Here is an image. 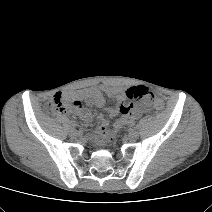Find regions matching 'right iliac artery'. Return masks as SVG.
Listing matches in <instances>:
<instances>
[{
    "mask_svg": "<svg viewBox=\"0 0 212 212\" xmlns=\"http://www.w3.org/2000/svg\"><path fill=\"white\" fill-rule=\"evenodd\" d=\"M70 126H71L72 128H75V127L77 126V123H76L75 121H71V122H70Z\"/></svg>",
    "mask_w": 212,
    "mask_h": 212,
    "instance_id": "right-iliac-artery-1",
    "label": "right iliac artery"
}]
</instances>
